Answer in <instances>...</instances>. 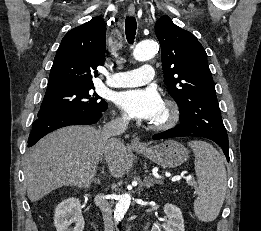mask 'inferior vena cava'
<instances>
[{
    "label": "inferior vena cava",
    "mask_w": 261,
    "mask_h": 231,
    "mask_svg": "<svg viewBox=\"0 0 261 231\" xmlns=\"http://www.w3.org/2000/svg\"><path fill=\"white\" fill-rule=\"evenodd\" d=\"M128 124L129 118L122 117L103 126L101 133L105 141L104 156L107 162L115 156L117 149L121 146V141L116 136L123 134ZM100 209L103 215L105 231H114L111 205L106 200H101Z\"/></svg>",
    "instance_id": "1"
}]
</instances>
